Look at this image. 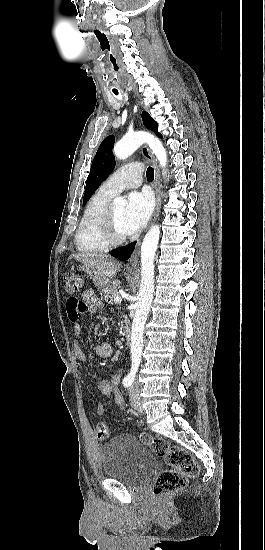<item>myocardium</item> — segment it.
I'll return each instance as SVG.
<instances>
[{"instance_id": "myocardium-1", "label": "myocardium", "mask_w": 265, "mask_h": 550, "mask_svg": "<svg viewBox=\"0 0 265 550\" xmlns=\"http://www.w3.org/2000/svg\"><path fill=\"white\" fill-rule=\"evenodd\" d=\"M100 227L104 238L112 246L122 244L130 237V234H121L117 230L112 206L110 205L105 210Z\"/></svg>"}]
</instances>
